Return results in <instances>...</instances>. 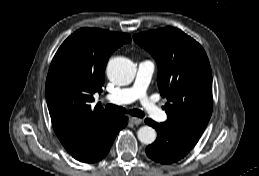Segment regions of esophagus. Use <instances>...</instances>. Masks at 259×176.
<instances>
[{"label":"esophagus","mask_w":259,"mask_h":176,"mask_svg":"<svg viewBox=\"0 0 259 176\" xmlns=\"http://www.w3.org/2000/svg\"><path fill=\"white\" fill-rule=\"evenodd\" d=\"M129 121L134 125H140L142 123V119L137 117H130Z\"/></svg>","instance_id":"esophagus-1"}]
</instances>
